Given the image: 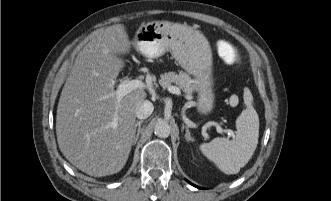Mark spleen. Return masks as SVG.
<instances>
[{"label":"spleen","mask_w":331,"mask_h":201,"mask_svg":"<svg viewBox=\"0 0 331 201\" xmlns=\"http://www.w3.org/2000/svg\"><path fill=\"white\" fill-rule=\"evenodd\" d=\"M246 109L236 120V135L232 140L214 138L200 145L201 152L225 174H237L254 154L259 137V117L251 97L244 100Z\"/></svg>","instance_id":"3e777b00"}]
</instances>
